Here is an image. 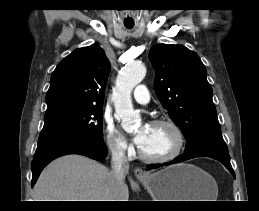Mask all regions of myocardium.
I'll return each instance as SVG.
<instances>
[{
    "label": "myocardium",
    "instance_id": "1",
    "mask_svg": "<svg viewBox=\"0 0 259 211\" xmlns=\"http://www.w3.org/2000/svg\"><path fill=\"white\" fill-rule=\"evenodd\" d=\"M151 125L166 126L172 131L174 136L173 148L167 154H164L161 156H151L143 152V150L139 146L138 148L139 157L143 161L149 162V163H165L175 159L181 153L184 146V134L181 128L179 127V125L173 120L167 119V118L156 119L151 122Z\"/></svg>",
    "mask_w": 259,
    "mask_h": 211
}]
</instances>
